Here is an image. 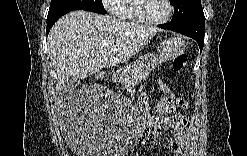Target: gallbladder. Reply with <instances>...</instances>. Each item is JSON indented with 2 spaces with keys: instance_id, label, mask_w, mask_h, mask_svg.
Here are the masks:
<instances>
[{
  "instance_id": "bac80fb5",
  "label": "gallbladder",
  "mask_w": 247,
  "mask_h": 156,
  "mask_svg": "<svg viewBox=\"0 0 247 156\" xmlns=\"http://www.w3.org/2000/svg\"><path fill=\"white\" fill-rule=\"evenodd\" d=\"M77 84V79L75 77H70L68 80H66L63 84V89H62V93H68L69 91H71L72 89H74V87Z\"/></svg>"
}]
</instances>
